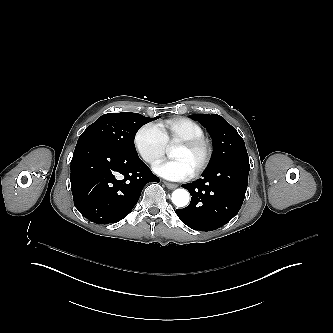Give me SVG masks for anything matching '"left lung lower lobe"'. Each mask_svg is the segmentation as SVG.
<instances>
[{
    "mask_svg": "<svg viewBox=\"0 0 333 333\" xmlns=\"http://www.w3.org/2000/svg\"><path fill=\"white\" fill-rule=\"evenodd\" d=\"M248 157L231 158L207 170L203 177L182 185L190 204L177 209L180 220L194 230L212 231L228 223L240 210L248 184Z\"/></svg>",
    "mask_w": 333,
    "mask_h": 333,
    "instance_id": "0a47b994",
    "label": "left lung lower lobe"
}]
</instances>
